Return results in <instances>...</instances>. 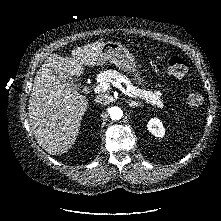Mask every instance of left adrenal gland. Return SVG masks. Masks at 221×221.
<instances>
[{
    "mask_svg": "<svg viewBox=\"0 0 221 221\" xmlns=\"http://www.w3.org/2000/svg\"><path fill=\"white\" fill-rule=\"evenodd\" d=\"M128 105L130 106V107H138L139 106V104L137 103V102H135V101H132V102H128Z\"/></svg>",
    "mask_w": 221,
    "mask_h": 221,
    "instance_id": "1",
    "label": "left adrenal gland"
}]
</instances>
